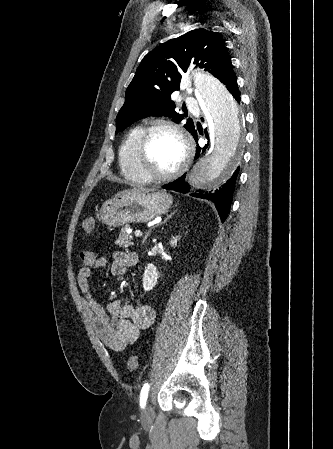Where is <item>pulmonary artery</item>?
<instances>
[{
  "label": "pulmonary artery",
  "instance_id": "1",
  "mask_svg": "<svg viewBox=\"0 0 333 449\" xmlns=\"http://www.w3.org/2000/svg\"><path fill=\"white\" fill-rule=\"evenodd\" d=\"M186 105H187L190 109H193V108L196 107L197 103H196V101H195L193 98L187 97V98H186Z\"/></svg>",
  "mask_w": 333,
  "mask_h": 449
}]
</instances>
